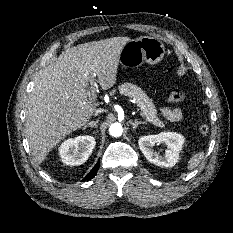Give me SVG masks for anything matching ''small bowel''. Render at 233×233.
I'll use <instances>...</instances> for the list:
<instances>
[{"instance_id": "obj_1", "label": "small bowel", "mask_w": 233, "mask_h": 233, "mask_svg": "<svg viewBox=\"0 0 233 233\" xmlns=\"http://www.w3.org/2000/svg\"><path fill=\"white\" fill-rule=\"evenodd\" d=\"M162 115L170 121H179L182 118V111L179 108L163 107Z\"/></svg>"}]
</instances>
